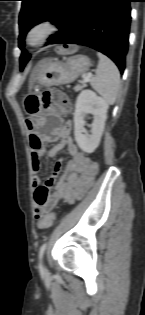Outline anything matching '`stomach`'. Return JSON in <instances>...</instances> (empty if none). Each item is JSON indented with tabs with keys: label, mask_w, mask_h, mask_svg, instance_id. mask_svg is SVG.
Here are the masks:
<instances>
[{
	"label": "stomach",
	"mask_w": 145,
	"mask_h": 315,
	"mask_svg": "<svg viewBox=\"0 0 145 315\" xmlns=\"http://www.w3.org/2000/svg\"><path fill=\"white\" fill-rule=\"evenodd\" d=\"M41 66L35 81L45 87L46 85H61L75 81L89 70L91 61L85 55H75L65 61L44 59ZM21 110L27 112L28 116H41L39 94H24Z\"/></svg>",
	"instance_id": "0dacf381"
}]
</instances>
